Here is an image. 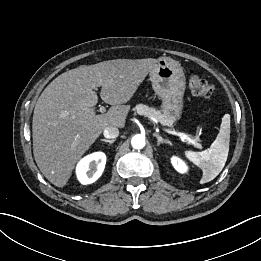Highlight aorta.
I'll return each instance as SVG.
<instances>
[{
    "mask_svg": "<svg viewBox=\"0 0 261 261\" xmlns=\"http://www.w3.org/2000/svg\"><path fill=\"white\" fill-rule=\"evenodd\" d=\"M131 144L135 149H142L145 146V137L137 134L132 137Z\"/></svg>",
    "mask_w": 261,
    "mask_h": 261,
    "instance_id": "aorta-1",
    "label": "aorta"
}]
</instances>
